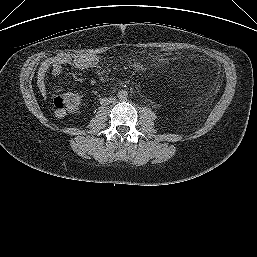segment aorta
I'll list each match as a JSON object with an SVG mask.
<instances>
[{"instance_id":"aorta-1","label":"aorta","mask_w":257,"mask_h":257,"mask_svg":"<svg viewBox=\"0 0 257 257\" xmlns=\"http://www.w3.org/2000/svg\"><path fill=\"white\" fill-rule=\"evenodd\" d=\"M117 97L119 100L125 101L128 98V92L126 90H120L117 93Z\"/></svg>"}]
</instances>
